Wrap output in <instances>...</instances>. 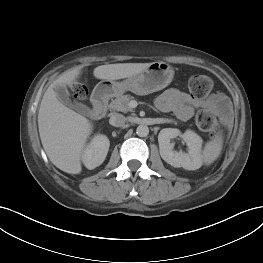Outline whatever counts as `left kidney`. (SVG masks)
Wrapping results in <instances>:
<instances>
[{
	"label": "left kidney",
	"instance_id": "obj_1",
	"mask_svg": "<svg viewBox=\"0 0 263 263\" xmlns=\"http://www.w3.org/2000/svg\"><path fill=\"white\" fill-rule=\"evenodd\" d=\"M181 136L186 142L188 153L173 150L171 139ZM159 151L162 159L173 167H182L186 170H196L202 165L201 148L202 138L191 130L181 134L175 128H164L158 135Z\"/></svg>",
	"mask_w": 263,
	"mask_h": 263
}]
</instances>
